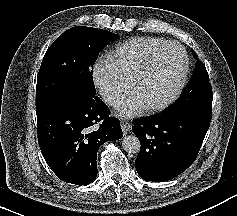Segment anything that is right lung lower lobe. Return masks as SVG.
<instances>
[{
  "instance_id": "98d812e1",
  "label": "right lung lower lobe",
  "mask_w": 237,
  "mask_h": 216,
  "mask_svg": "<svg viewBox=\"0 0 237 216\" xmlns=\"http://www.w3.org/2000/svg\"><path fill=\"white\" fill-rule=\"evenodd\" d=\"M36 115L42 155L67 183H91L98 172V148L123 136L119 121L108 117L109 109L97 96H70Z\"/></svg>"
}]
</instances>
